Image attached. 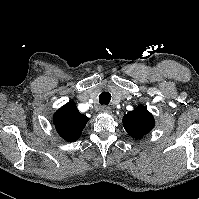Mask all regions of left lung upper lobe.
Masks as SVG:
<instances>
[{"instance_id": "obj_1", "label": "left lung upper lobe", "mask_w": 199, "mask_h": 199, "mask_svg": "<svg viewBox=\"0 0 199 199\" xmlns=\"http://www.w3.org/2000/svg\"><path fill=\"white\" fill-rule=\"evenodd\" d=\"M122 121L127 133L135 139L148 134L155 125L152 114L143 105L124 115Z\"/></svg>"}]
</instances>
